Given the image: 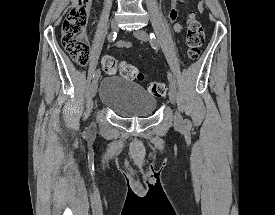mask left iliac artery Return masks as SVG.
Listing matches in <instances>:
<instances>
[{"label":"left iliac artery","mask_w":275,"mask_h":215,"mask_svg":"<svg viewBox=\"0 0 275 215\" xmlns=\"http://www.w3.org/2000/svg\"><path fill=\"white\" fill-rule=\"evenodd\" d=\"M150 43L154 49L159 48V43H158L154 33H150ZM168 80L170 83H172L174 86H176V80L170 72H168Z\"/></svg>","instance_id":"left-iliac-artery-1"}]
</instances>
